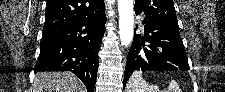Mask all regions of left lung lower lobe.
I'll return each instance as SVG.
<instances>
[{
  "instance_id": "obj_1",
  "label": "left lung lower lobe",
  "mask_w": 225,
  "mask_h": 92,
  "mask_svg": "<svg viewBox=\"0 0 225 92\" xmlns=\"http://www.w3.org/2000/svg\"><path fill=\"white\" fill-rule=\"evenodd\" d=\"M142 23L145 34L143 37L134 35L124 72V87L135 70H189L179 29L147 19Z\"/></svg>"
}]
</instances>
